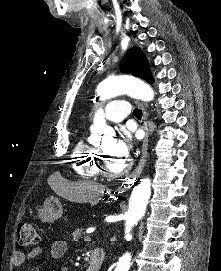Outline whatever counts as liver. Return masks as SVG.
<instances>
[{
    "label": "liver",
    "mask_w": 221,
    "mask_h": 271,
    "mask_svg": "<svg viewBox=\"0 0 221 271\" xmlns=\"http://www.w3.org/2000/svg\"><path fill=\"white\" fill-rule=\"evenodd\" d=\"M63 179V177H61ZM54 187H56L58 181H52ZM64 191H58L59 195L65 197V199H70V201H77V203H87L90 201L92 205H95L98 201L97 191H103V185H98L94 181H89V179H82V181H76V183H63Z\"/></svg>",
    "instance_id": "6515ba94"
}]
</instances>
